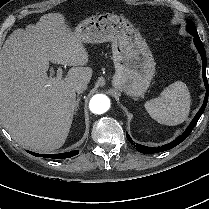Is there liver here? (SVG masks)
Returning <instances> with one entry per match:
<instances>
[{
	"mask_svg": "<svg viewBox=\"0 0 209 209\" xmlns=\"http://www.w3.org/2000/svg\"><path fill=\"white\" fill-rule=\"evenodd\" d=\"M49 61L73 67L50 85ZM88 61L60 13L10 34L0 52V122L17 143L43 152L63 146L73 121L75 86L92 77Z\"/></svg>",
	"mask_w": 209,
	"mask_h": 209,
	"instance_id": "obj_1",
	"label": "liver"
}]
</instances>
